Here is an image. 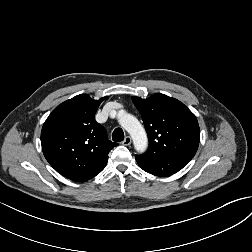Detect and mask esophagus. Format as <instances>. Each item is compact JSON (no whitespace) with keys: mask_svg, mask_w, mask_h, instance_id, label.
<instances>
[{"mask_svg":"<svg viewBox=\"0 0 252 252\" xmlns=\"http://www.w3.org/2000/svg\"><path fill=\"white\" fill-rule=\"evenodd\" d=\"M131 142H132L131 137H130V136H127V137H125V139H124V141L122 142V144H123L124 146H129V145L131 144Z\"/></svg>","mask_w":252,"mask_h":252,"instance_id":"obj_1","label":"esophagus"}]
</instances>
